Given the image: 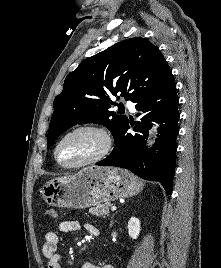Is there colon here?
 Segmentation results:
<instances>
[{
  "label": "colon",
  "instance_id": "1",
  "mask_svg": "<svg viewBox=\"0 0 221 268\" xmlns=\"http://www.w3.org/2000/svg\"><path fill=\"white\" fill-rule=\"evenodd\" d=\"M45 216H46V218L51 219V220H57L58 219V213L53 208L47 209L45 211Z\"/></svg>",
  "mask_w": 221,
  "mask_h": 268
}]
</instances>
